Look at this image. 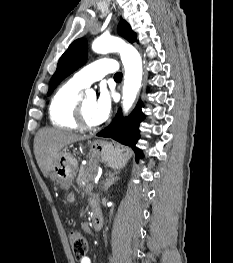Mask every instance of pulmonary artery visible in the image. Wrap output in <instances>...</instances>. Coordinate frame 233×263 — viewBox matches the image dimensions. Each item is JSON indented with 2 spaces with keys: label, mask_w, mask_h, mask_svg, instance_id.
Segmentation results:
<instances>
[{
  "label": "pulmonary artery",
  "mask_w": 233,
  "mask_h": 263,
  "mask_svg": "<svg viewBox=\"0 0 233 263\" xmlns=\"http://www.w3.org/2000/svg\"><path fill=\"white\" fill-rule=\"evenodd\" d=\"M118 71L117 62L110 58H101L91 64L86 65L73 76V81L82 87H87L91 83L102 79L107 74Z\"/></svg>",
  "instance_id": "pulmonary-artery-1"
}]
</instances>
